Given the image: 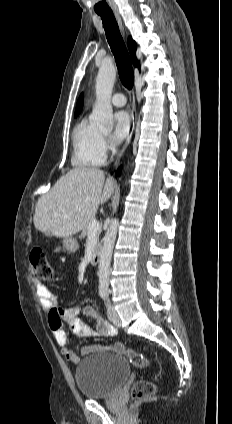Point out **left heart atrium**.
Segmentation results:
<instances>
[{
  "label": "left heart atrium",
  "mask_w": 232,
  "mask_h": 424,
  "mask_svg": "<svg viewBox=\"0 0 232 424\" xmlns=\"http://www.w3.org/2000/svg\"><path fill=\"white\" fill-rule=\"evenodd\" d=\"M131 129V118L125 111H119L115 114L114 140L116 142L123 141L129 134Z\"/></svg>",
  "instance_id": "obj_1"
}]
</instances>
